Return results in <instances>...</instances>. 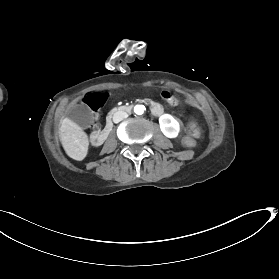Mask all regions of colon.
Returning a JSON list of instances; mask_svg holds the SVG:
<instances>
[{"mask_svg": "<svg viewBox=\"0 0 279 279\" xmlns=\"http://www.w3.org/2000/svg\"><path fill=\"white\" fill-rule=\"evenodd\" d=\"M187 132L192 137H199L200 136V128L196 122L190 121L187 125Z\"/></svg>", "mask_w": 279, "mask_h": 279, "instance_id": "colon-1", "label": "colon"}]
</instances>
